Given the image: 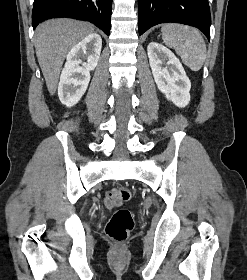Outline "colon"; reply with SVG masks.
Returning <instances> with one entry per match:
<instances>
[{
    "instance_id": "5ec220e1",
    "label": "colon",
    "mask_w": 247,
    "mask_h": 280,
    "mask_svg": "<svg viewBox=\"0 0 247 280\" xmlns=\"http://www.w3.org/2000/svg\"><path fill=\"white\" fill-rule=\"evenodd\" d=\"M131 198V192L126 187H121L114 190V199L116 202H125ZM134 228L133 213L126 208L117 209L108 220L105 233L106 235L116 241H125Z\"/></svg>"
}]
</instances>
